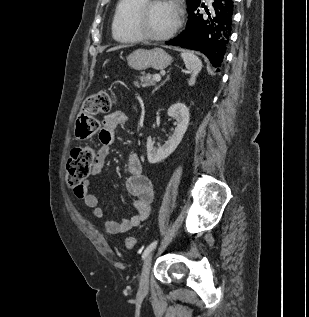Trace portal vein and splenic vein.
Instances as JSON below:
<instances>
[{"mask_svg":"<svg viewBox=\"0 0 309 317\" xmlns=\"http://www.w3.org/2000/svg\"><path fill=\"white\" fill-rule=\"evenodd\" d=\"M154 80L157 81V82L161 81V76L160 75H155L154 76Z\"/></svg>","mask_w":309,"mask_h":317,"instance_id":"18ae733b","label":"portal vein and splenic vein"}]
</instances>
